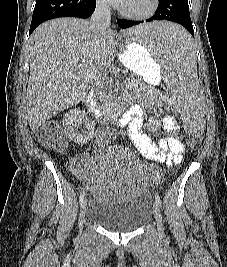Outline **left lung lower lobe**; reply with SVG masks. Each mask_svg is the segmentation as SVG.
Masks as SVG:
<instances>
[{"label":"left lung lower lobe","mask_w":227,"mask_h":267,"mask_svg":"<svg viewBox=\"0 0 227 267\" xmlns=\"http://www.w3.org/2000/svg\"><path fill=\"white\" fill-rule=\"evenodd\" d=\"M157 20H168L181 24L184 26L194 37V30L189 13L188 0H160L159 7L156 13L146 22H152ZM143 21H129V20H118V25L125 29L131 26L142 23ZM172 47L175 50H185L192 46V40H181L173 38L171 40Z\"/></svg>","instance_id":"0a47b994"}]
</instances>
